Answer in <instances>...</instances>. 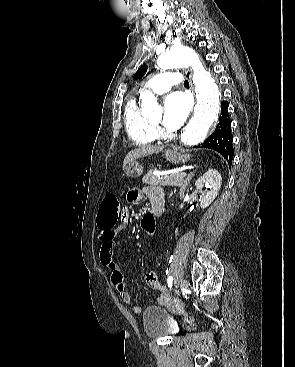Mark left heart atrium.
Masks as SVG:
<instances>
[{"instance_id":"left-heart-atrium-1","label":"left heart atrium","mask_w":295,"mask_h":367,"mask_svg":"<svg viewBox=\"0 0 295 367\" xmlns=\"http://www.w3.org/2000/svg\"><path fill=\"white\" fill-rule=\"evenodd\" d=\"M191 108L189 97L183 92H174L168 95L164 102L162 123L164 127L173 131L179 128L186 120Z\"/></svg>"}]
</instances>
